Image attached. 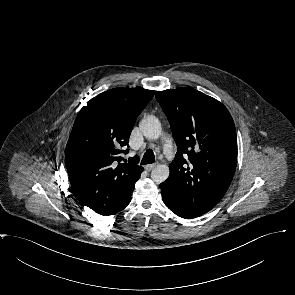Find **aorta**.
Segmentation results:
<instances>
[{
	"label": "aorta",
	"mask_w": 295,
	"mask_h": 295,
	"mask_svg": "<svg viewBox=\"0 0 295 295\" xmlns=\"http://www.w3.org/2000/svg\"><path fill=\"white\" fill-rule=\"evenodd\" d=\"M142 134L150 140H156L161 136L162 128L159 119L153 115L147 116L139 123ZM170 170L166 164H158L151 171L152 180L157 183H163L169 177Z\"/></svg>",
	"instance_id": "aorta-1"
}]
</instances>
